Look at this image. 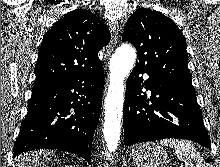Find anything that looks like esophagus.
Segmentation results:
<instances>
[{"label": "esophagus", "mask_w": 220, "mask_h": 167, "mask_svg": "<svg viewBox=\"0 0 220 167\" xmlns=\"http://www.w3.org/2000/svg\"><path fill=\"white\" fill-rule=\"evenodd\" d=\"M110 33H111V40L107 46V56H110L111 53L114 51V48L118 41L119 27L116 23L110 24Z\"/></svg>", "instance_id": "obj_1"}]
</instances>
